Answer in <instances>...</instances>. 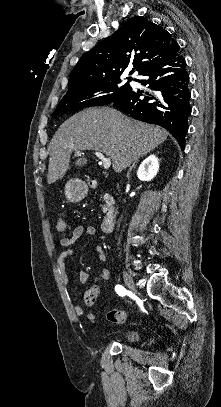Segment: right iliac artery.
<instances>
[{"instance_id": "obj_1", "label": "right iliac artery", "mask_w": 221, "mask_h": 407, "mask_svg": "<svg viewBox=\"0 0 221 407\" xmlns=\"http://www.w3.org/2000/svg\"><path fill=\"white\" fill-rule=\"evenodd\" d=\"M115 291L119 296H125L127 294V290L121 286V285H116L115 286Z\"/></svg>"}]
</instances>
